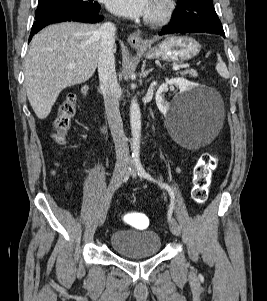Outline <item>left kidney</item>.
<instances>
[{
  "label": "left kidney",
  "mask_w": 267,
  "mask_h": 301,
  "mask_svg": "<svg viewBox=\"0 0 267 301\" xmlns=\"http://www.w3.org/2000/svg\"><path fill=\"white\" fill-rule=\"evenodd\" d=\"M175 85L179 88V93L182 94L186 91H189L192 88L198 87L197 84H193L187 81L184 78H173L167 80L164 84H162L156 92V104L161 112H167L169 103L166 102L163 98V92L165 91L167 86Z\"/></svg>",
  "instance_id": "5707ae66"
}]
</instances>
